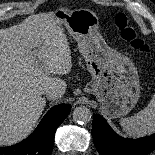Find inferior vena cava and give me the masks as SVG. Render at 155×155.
Returning <instances> with one entry per match:
<instances>
[{"label":"inferior vena cava","instance_id":"inferior-vena-cava-1","mask_svg":"<svg viewBox=\"0 0 155 155\" xmlns=\"http://www.w3.org/2000/svg\"><path fill=\"white\" fill-rule=\"evenodd\" d=\"M43 94L47 97L48 100L61 98V96L63 95L59 88L53 86L46 88Z\"/></svg>","mask_w":155,"mask_h":155}]
</instances>
